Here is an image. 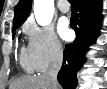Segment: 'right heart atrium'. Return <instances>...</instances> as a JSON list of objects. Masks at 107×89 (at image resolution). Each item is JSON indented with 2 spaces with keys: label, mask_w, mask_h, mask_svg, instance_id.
Here are the masks:
<instances>
[{
  "label": "right heart atrium",
  "mask_w": 107,
  "mask_h": 89,
  "mask_svg": "<svg viewBox=\"0 0 107 89\" xmlns=\"http://www.w3.org/2000/svg\"><path fill=\"white\" fill-rule=\"evenodd\" d=\"M25 33L28 39L27 49L36 71H45L61 60L63 46L52 28L30 23L25 27Z\"/></svg>",
  "instance_id": "1"
}]
</instances>
